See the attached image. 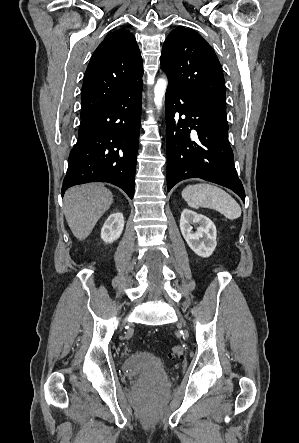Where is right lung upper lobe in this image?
I'll return each instance as SVG.
<instances>
[{
  "instance_id": "right-lung-upper-lobe-1",
  "label": "right lung upper lobe",
  "mask_w": 299,
  "mask_h": 443,
  "mask_svg": "<svg viewBox=\"0 0 299 443\" xmlns=\"http://www.w3.org/2000/svg\"><path fill=\"white\" fill-rule=\"evenodd\" d=\"M136 39L121 29L108 34L93 53L82 86L81 118L142 84Z\"/></svg>"
}]
</instances>
